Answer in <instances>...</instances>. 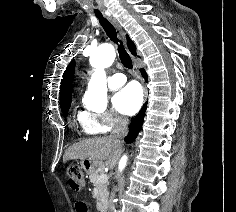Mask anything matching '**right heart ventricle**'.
<instances>
[{"label": "right heart ventricle", "instance_id": "obj_1", "mask_svg": "<svg viewBox=\"0 0 236 212\" xmlns=\"http://www.w3.org/2000/svg\"><path fill=\"white\" fill-rule=\"evenodd\" d=\"M84 112H78L77 114V120H78V123L80 125V127L82 128V116H83ZM91 134H96L94 132H92Z\"/></svg>", "mask_w": 236, "mask_h": 212}]
</instances>
